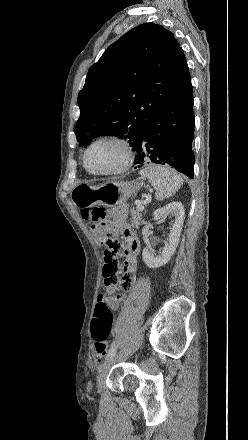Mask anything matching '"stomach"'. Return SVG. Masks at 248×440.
I'll use <instances>...</instances> for the list:
<instances>
[{
    "mask_svg": "<svg viewBox=\"0 0 248 440\" xmlns=\"http://www.w3.org/2000/svg\"><path fill=\"white\" fill-rule=\"evenodd\" d=\"M142 184L132 182H109L101 186L79 184L71 192V201L76 207H92L100 204L115 207L124 204L139 191Z\"/></svg>",
    "mask_w": 248,
    "mask_h": 440,
    "instance_id": "1",
    "label": "stomach"
}]
</instances>
